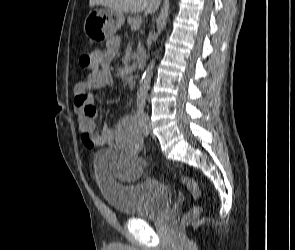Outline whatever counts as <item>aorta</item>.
<instances>
[{
  "instance_id": "1",
  "label": "aorta",
  "mask_w": 295,
  "mask_h": 250,
  "mask_svg": "<svg viewBox=\"0 0 295 250\" xmlns=\"http://www.w3.org/2000/svg\"><path fill=\"white\" fill-rule=\"evenodd\" d=\"M155 62L152 61L147 69L145 70L139 89L137 91V105L138 106H144L147 95H148V90L150 88V83H151V78L153 76V70H154Z\"/></svg>"
}]
</instances>
